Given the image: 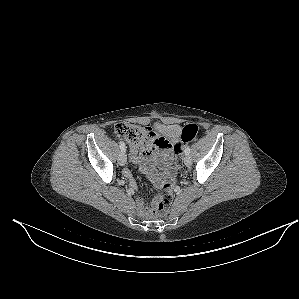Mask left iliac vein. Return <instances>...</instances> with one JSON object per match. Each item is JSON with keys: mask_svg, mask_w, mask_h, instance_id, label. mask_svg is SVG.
<instances>
[{"mask_svg": "<svg viewBox=\"0 0 299 299\" xmlns=\"http://www.w3.org/2000/svg\"><path fill=\"white\" fill-rule=\"evenodd\" d=\"M184 163H185L186 166H190L192 164V159L189 155H185Z\"/></svg>", "mask_w": 299, "mask_h": 299, "instance_id": "left-iliac-vein-1", "label": "left iliac vein"}]
</instances>
